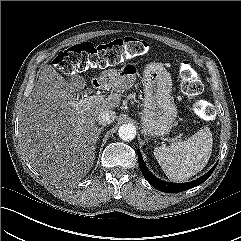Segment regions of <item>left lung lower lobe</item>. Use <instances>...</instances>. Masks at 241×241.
<instances>
[{
  "label": "left lung lower lobe",
  "instance_id": "1",
  "mask_svg": "<svg viewBox=\"0 0 241 241\" xmlns=\"http://www.w3.org/2000/svg\"><path fill=\"white\" fill-rule=\"evenodd\" d=\"M138 161H139V166L141 168V171L144 175V177L147 179V181L157 190L162 191V192H167V193H176V192H182L188 189H191L193 187H196L206 181L210 175L213 173L214 169L216 168V165L204 176L200 177L197 180H194L192 182L188 183H171V182H166L158 179L155 177L145 166V163L143 161V158L141 156L140 151H138Z\"/></svg>",
  "mask_w": 241,
  "mask_h": 241
}]
</instances>
